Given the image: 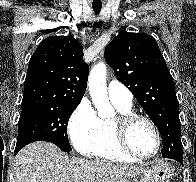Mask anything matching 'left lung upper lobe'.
Listing matches in <instances>:
<instances>
[{"label":"left lung upper lobe","instance_id":"1","mask_svg":"<svg viewBox=\"0 0 196 182\" xmlns=\"http://www.w3.org/2000/svg\"><path fill=\"white\" fill-rule=\"evenodd\" d=\"M105 59L158 128L162 154L177 151L183 155L173 78L156 40L145 33L121 32L106 46Z\"/></svg>","mask_w":196,"mask_h":182}]
</instances>
